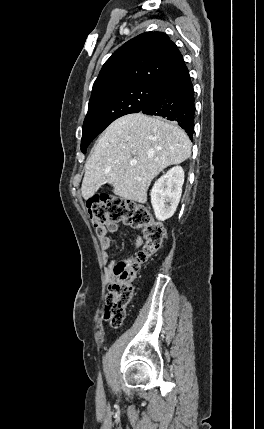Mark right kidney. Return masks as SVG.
Instances as JSON below:
<instances>
[{
    "label": "right kidney",
    "mask_w": 264,
    "mask_h": 429,
    "mask_svg": "<svg viewBox=\"0 0 264 429\" xmlns=\"http://www.w3.org/2000/svg\"><path fill=\"white\" fill-rule=\"evenodd\" d=\"M184 171L181 166H175L161 176L151 190V204L159 221H165L173 216L182 194Z\"/></svg>",
    "instance_id": "right-kidney-1"
}]
</instances>
